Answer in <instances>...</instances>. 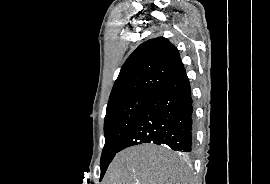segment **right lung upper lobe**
<instances>
[{
	"mask_svg": "<svg viewBox=\"0 0 270 184\" xmlns=\"http://www.w3.org/2000/svg\"><path fill=\"white\" fill-rule=\"evenodd\" d=\"M183 68L177 48L168 39L148 40L124 63L108 103L134 95L150 96Z\"/></svg>",
	"mask_w": 270,
	"mask_h": 184,
	"instance_id": "cb5924a9",
	"label": "right lung upper lobe"
}]
</instances>
